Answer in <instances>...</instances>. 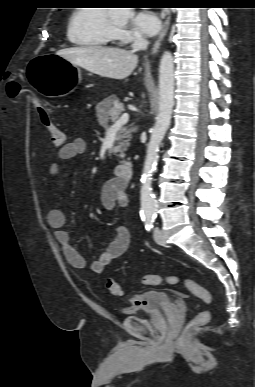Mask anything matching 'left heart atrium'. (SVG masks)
Returning <instances> with one entry per match:
<instances>
[{
  "instance_id": "obj_1",
  "label": "left heart atrium",
  "mask_w": 255,
  "mask_h": 387,
  "mask_svg": "<svg viewBox=\"0 0 255 387\" xmlns=\"http://www.w3.org/2000/svg\"><path fill=\"white\" fill-rule=\"evenodd\" d=\"M133 27L140 34L154 36L161 29V21L155 13L141 11L133 18Z\"/></svg>"
}]
</instances>
